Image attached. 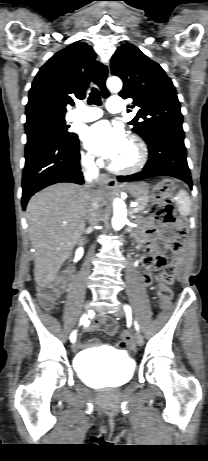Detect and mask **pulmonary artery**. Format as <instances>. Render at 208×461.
<instances>
[{"label": "pulmonary artery", "instance_id": "e3ab8cb5", "mask_svg": "<svg viewBox=\"0 0 208 461\" xmlns=\"http://www.w3.org/2000/svg\"><path fill=\"white\" fill-rule=\"evenodd\" d=\"M123 100L120 97H111L107 102V109L111 113H118L123 110ZM102 112L98 108L81 105L78 111L69 116L73 122H91L100 118Z\"/></svg>", "mask_w": 208, "mask_h": 461}]
</instances>
